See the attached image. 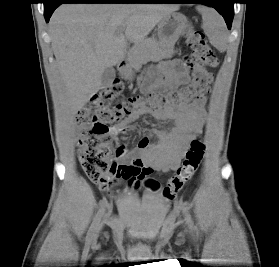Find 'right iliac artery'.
<instances>
[{
	"label": "right iliac artery",
	"mask_w": 279,
	"mask_h": 267,
	"mask_svg": "<svg viewBox=\"0 0 279 267\" xmlns=\"http://www.w3.org/2000/svg\"><path fill=\"white\" fill-rule=\"evenodd\" d=\"M104 206H105V204L103 203L101 205V208L99 209V211L97 212V214L94 217V220H93V222H92V224L89 228V231L87 233V237H86L87 241H90L92 239V237L94 235V232H95L96 228L98 227V225L100 223V220H101V218L104 214V211H105Z\"/></svg>",
	"instance_id": "82829eb1"
}]
</instances>
